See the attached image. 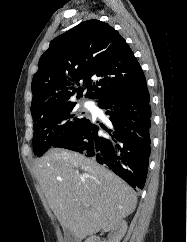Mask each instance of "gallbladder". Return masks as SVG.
<instances>
[{
  "label": "gallbladder",
  "instance_id": "bac80fb5",
  "mask_svg": "<svg viewBox=\"0 0 187 242\" xmlns=\"http://www.w3.org/2000/svg\"><path fill=\"white\" fill-rule=\"evenodd\" d=\"M65 242H80L68 229H65Z\"/></svg>",
  "mask_w": 187,
  "mask_h": 242
}]
</instances>
